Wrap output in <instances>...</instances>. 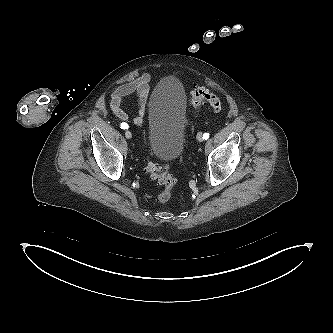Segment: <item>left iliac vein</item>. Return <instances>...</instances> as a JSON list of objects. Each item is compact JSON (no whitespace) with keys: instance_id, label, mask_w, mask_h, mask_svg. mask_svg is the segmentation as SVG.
Returning <instances> with one entry per match:
<instances>
[{"instance_id":"1","label":"left iliac vein","mask_w":333,"mask_h":333,"mask_svg":"<svg viewBox=\"0 0 333 333\" xmlns=\"http://www.w3.org/2000/svg\"><path fill=\"white\" fill-rule=\"evenodd\" d=\"M197 140H198L199 142H202V141H203V135H202L201 132H199V133L197 134Z\"/></svg>"}]
</instances>
